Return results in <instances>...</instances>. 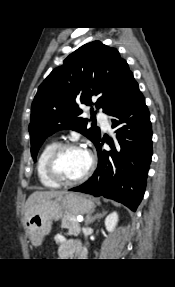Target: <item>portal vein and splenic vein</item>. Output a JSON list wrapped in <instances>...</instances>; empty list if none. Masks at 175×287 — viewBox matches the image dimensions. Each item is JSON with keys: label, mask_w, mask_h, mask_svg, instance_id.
Returning a JSON list of instances; mask_svg holds the SVG:
<instances>
[{"label": "portal vein and splenic vein", "mask_w": 175, "mask_h": 287, "mask_svg": "<svg viewBox=\"0 0 175 287\" xmlns=\"http://www.w3.org/2000/svg\"><path fill=\"white\" fill-rule=\"evenodd\" d=\"M77 221H78V222H82V221H83V218H77Z\"/></svg>", "instance_id": "obj_1"}]
</instances>
